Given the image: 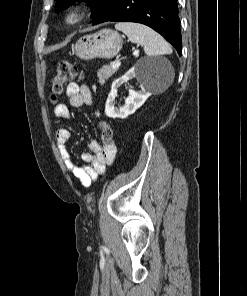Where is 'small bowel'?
<instances>
[{"instance_id":"1","label":"small bowel","mask_w":247,"mask_h":296,"mask_svg":"<svg viewBox=\"0 0 247 296\" xmlns=\"http://www.w3.org/2000/svg\"><path fill=\"white\" fill-rule=\"evenodd\" d=\"M65 95L71 107L78 108L91 103L90 90L85 85L77 82H70L65 90ZM54 117L56 119L71 120L72 115L66 104L60 103L54 107ZM71 133L67 128H60L57 131V146L61 153L63 162L67 170L77 178L84 187L91 186L100 174L105 171L106 165H110L115 158V146L103 147L96 140L88 144V151L82 154L84 165L76 163L71 156L67 144Z\"/></svg>"}]
</instances>
